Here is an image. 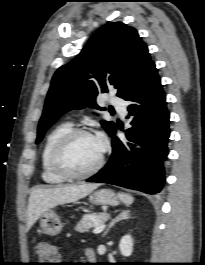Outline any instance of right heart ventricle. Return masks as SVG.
Here are the masks:
<instances>
[{"label": "right heart ventricle", "mask_w": 205, "mask_h": 265, "mask_svg": "<svg viewBox=\"0 0 205 265\" xmlns=\"http://www.w3.org/2000/svg\"><path fill=\"white\" fill-rule=\"evenodd\" d=\"M71 129L72 125L70 123H60L55 126L45 138L41 153V177L43 181L48 184H61L65 181V179L53 172L50 167L49 158L56 142Z\"/></svg>", "instance_id": "1"}]
</instances>
